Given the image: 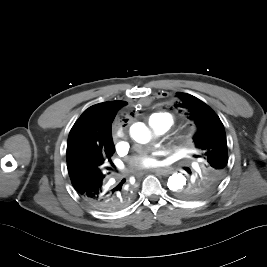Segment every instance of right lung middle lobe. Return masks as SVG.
I'll use <instances>...</instances> for the list:
<instances>
[{
	"instance_id": "1",
	"label": "right lung middle lobe",
	"mask_w": 267,
	"mask_h": 267,
	"mask_svg": "<svg viewBox=\"0 0 267 267\" xmlns=\"http://www.w3.org/2000/svg\"><path fill=\"white\" fill-rule=\"evenodd\" d=\"M114 153L112 141L108 146L98 145L83 149L79 154L67 155V168L72 185L86 180L106 178L112 170L110 164Z\"/></svg>"
}]
</instances>
